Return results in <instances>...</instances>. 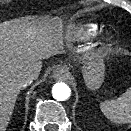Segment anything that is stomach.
<instances>
[{
	"mask_svg": "<svg viewBox=\"0 0 131 131\" xmlns=\"http://www.w3.org/2000/svg\"><path fill=\"white\" fill-rule=\"evenodd\" d=\"M83 77L87 88L96 90L104 81L105 67L102 59L92 58L83 66Z\"/></svg>",
	"mask_w": 131,
	"mask_h": 131,
	"instance_id": "1",
	"label": "stomach"
}]
</instances>
